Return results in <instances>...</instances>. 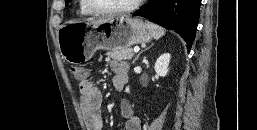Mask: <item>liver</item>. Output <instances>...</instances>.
Masks as SVG:
<instances>
[{
  "mask_svg": "<svg viewBox=\"0 0 257 130\" xmlns=\"http://www.w3.org/2000/svg\"><path fill=\"white\" fill-rule=\"evenodd\" d=\"M101 21V20H100ZM100 21H94L93 23H95V22H100Z\"/></svg>",
  "mask_w": 257,
  "mask_h": 130,
  "instance_id": "6515ba94",
  "label": "liver"
}]
</instances>
